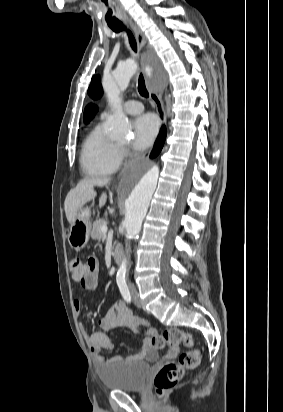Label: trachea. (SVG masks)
I'll return each instance as SVG.
<instances>
[{
    "instance_id": "trachea-1",
    "label": "trachea",
    "mask_w": 283,
    "mask_h": 412,
    "mask_svg": "<svg viewBox=\"0 0 283 412\" xmlns=\"http://www.w3.org/2000/svg\"><path fill=\"white\" fill-rule=\"evenodd\" d=\"M108 25L115 32H120V31L125 30V27L121 22L111 23V24H108ZM127 33H128V37H129V43H130L132 49L136 52L137 51V45H136L135 38H134V36L132 35L131 32L127 31ZM138 91H139L140 95L143 96V97L147 98L149 96L148 91H147L146 86H145L144 77H143L142 74H140L139 79H138Z\"/></svg>"
}]
</instances>
